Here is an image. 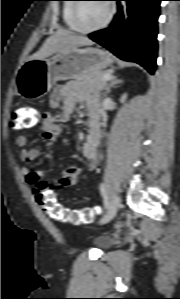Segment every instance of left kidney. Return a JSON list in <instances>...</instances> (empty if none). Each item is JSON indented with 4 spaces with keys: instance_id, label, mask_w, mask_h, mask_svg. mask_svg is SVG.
I'll use <instances>...</instances> for the list:
<instances>
[{
    "instance_id": "5707ae66",
    "label": "left kidney",
    "mask_w": 180,
    "mask_h": 299,
    "mask_svg": "<svg viewBox=\"0 0 180 299\" xmlns=\"http://www.w3.org/2000/svg\"><path fill=\"white\" fill-rule=\"evenodd\" d=\"M126 98H127V95H126V94H124V95L121 97L120 101H121L122 103H124V102H125V100H126Z\"/></svg>"
}]
</instances>
